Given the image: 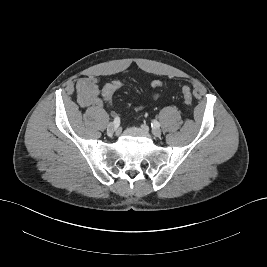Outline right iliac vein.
<instances>
[{"mask_svg": "<svg viewBox=\"0 0 267 267\" xmlns=\"http://www.w3.org/2000/svg\"><path fill=\"white\" fill-rule=\"evenodd\" d=\"M116 130H117V126L113 122H111V123L108 124V126H107V133L109 135L114 134L116 132Z\"/></svg>", "mask_w": 267, "mask_h": 267, "instance_id": "1", "label": "right iliac vein"}]
</instances>
